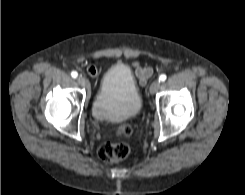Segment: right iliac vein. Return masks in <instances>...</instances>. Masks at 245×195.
Returning <instances> with one entry per match:
<instances>
[{"mask_svg": "<svg viewBox=\"0 0 245 195\" xmlns=\"http://www.w3.org/2000/svg\"><path fill=\"white\" fill-rule=\"evenodd\" d=\"M78 82H79V84L82 87H84L86 89H89L90 88V82H89V80L87 78H85V77H79L78 78Z\"/></svg>", "mask_w": 245, "mask_h": 195, "instance_id": "right-iliac-vein-1", "label": "right iliac vein"}]
</instances>
